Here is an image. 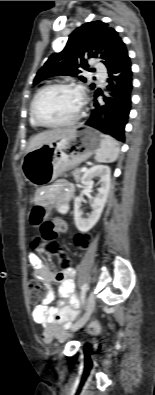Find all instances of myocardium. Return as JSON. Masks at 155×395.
Wrapping results in <instances>:
<instances>
[{
  "label": "myocardium",
  "mask_w": 155,
  "mask_h": 395,
  "mask_svg": "<svg viewBox=\"0 0 155 395\" xmlns=\"http://www.w3.org/2000/svg\"><path fill=\"white\" fill-rule=\"evenodd\" d=\"M52 88H69V89H73V90L77 91L78 94L80 95V106H79L77 112L75 113V115L71 119L62 121V122H56V123H44L37 117L36 102H37L39 96L46 90H49ZM83 106H84V103H83V99L81 97L80 88L76 84L71 83V82L58 81V82L50 83V84L43 86L35 93L32 101H31V104H30V116H31L33 122L39 127H44V128L69 127V126L76 124L78 122V120L81 118Z\"/></svg>",
  "instance_id": "f54148a6"
}]
</instances>
